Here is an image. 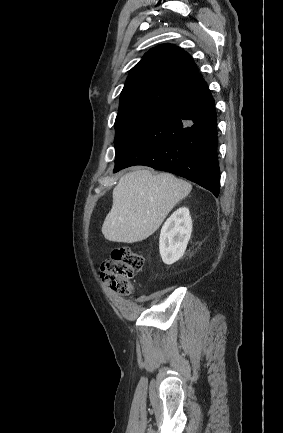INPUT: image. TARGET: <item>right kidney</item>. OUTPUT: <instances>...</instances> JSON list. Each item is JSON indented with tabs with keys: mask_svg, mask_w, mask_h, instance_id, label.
Segmentation results:
<instances>
[{
	"mask_svg": "<svg viewBox=\"0 0 283 433\" xmlns=\"http://www.w3.org/2000/svg\"><path fill=\"white\" fill-rule=\"evenodd\" d=\"M192 232L189 209H177L164 223L159 239V250L163 262L171 265L178 261L186 250Z\"/></svg>",
	"mask_w": 283,
	"mask_h": 433,
	"instance_id": "ca27d5eb",
	"label": "right kidney"
}]
</instances>
